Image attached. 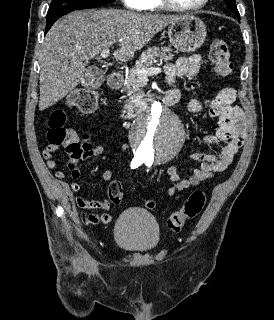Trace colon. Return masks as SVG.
<instances>
[{
	"mask_svg": "<svg viewBox=\"0 0 274 320\" xmlns=\"http://www.w3.org/2000/svg\"><path fill=\"white\" fill-rule=\"evenodd\" d=\"M209 60L214 66L217 75L227 77L231 71L232 57L230 49L225 41L213 42L209 50ZM99 93L94 88H77L72 90L66 100V105L58 107L51 113L47 125L48 143H58V149L64 148L67 152L73 153L75 157L83 156L84 152L90 149L89 136L85 133L79 135L72 128L66 127L67 111L74 108L81 113L94 111L98 104ZM70 168H76L77 164L70 163ZM106 187L109 193H113V201H122V182H107ZM206 203V193L196 189L192 191L189 198L167 219V229L170 232H180L183 224L196 218ZM148 208H155L154 200L146 202Z\"/></svg>",
	"mask_w": 274,
	"mask_h": 320,
	"instance_id": "colon-1",
	"label": "colon"
}]
</instances>
